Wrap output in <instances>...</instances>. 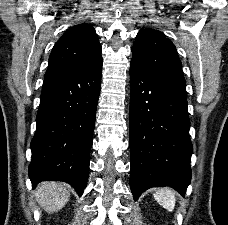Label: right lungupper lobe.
Wrapping results in <instances>:
<instances>
[{
	"instance_id": "right-lung-upper-lobe-1",
	"label": "right lung upper lobe",
	"mask_w": 228,
	"mask_h": 225,
	"mask_svg": "<svg viewBox=\"0 0 228 225\" xmlns=\"http://www.w3.org/2000/svg\"><path fill=\"white\" fill-rule=\"evenodd\" d=\"M102 47L92 25L82 23L69 28L55 43L45 78L79 70L102 58Z\"/></svg>"
}]
</instances>
